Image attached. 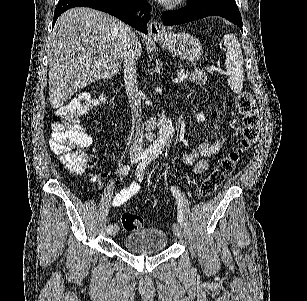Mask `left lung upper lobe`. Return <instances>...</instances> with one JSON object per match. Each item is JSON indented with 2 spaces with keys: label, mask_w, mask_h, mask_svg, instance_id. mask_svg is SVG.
<instances>
[{
  "label": "left lung upper lobe",
  "mask_w": 307,
  "mask_h": 301,
  "mask_svg": "<svg viewBox=\"0 0 307 301\" xmlns=\"http://www.w3.org/2000/svg\"><path fill=\"white\" fill-rule=\"evenodd\" d=\"M205 1H208V0H189L188 5L197 4V3H201V2H205ZM225 1L231 2V3H236L235 0H225Z\"/></svg>",
  "instance_id": "5c2ea615"
}]
</instances>
